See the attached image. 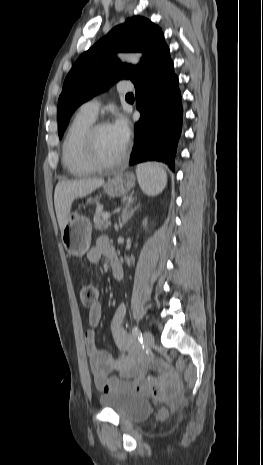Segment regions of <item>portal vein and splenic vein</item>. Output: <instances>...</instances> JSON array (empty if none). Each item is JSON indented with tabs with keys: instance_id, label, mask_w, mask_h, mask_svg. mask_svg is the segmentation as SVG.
I'll return each mask as SVG.
<instances>
[{
	"instance_id": "18ae733b",
	"label": "portal vein and splenic vein",
	"mask_w": 263,
	"mask_h": 465,
	"mask_svg": "<svg viewBox=\"0 0 263 465\" xmlns=\"http://www.w3.org/2000/svg\"><path fill=\"white\" fill-rule=\"evenodd\" d=\"M118 211H119V209H118L116 212H118ZM103 218H104V219L110 218V213H105V214L103 215Z\"/></svg>"
}]
</instances>
